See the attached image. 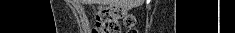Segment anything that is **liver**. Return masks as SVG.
Masks as SVG:
<instances>
[{
  "label": "liver",
  "mask_w": 235,
  "mask_h": 33,
  "mask_svg": "<svg viewBox=\"0 0 235 33\" xmlns=\"http://www.w3.org/2000/svg\"><path fill=\"white\" fill-rule=\"evenodd\" d=\"M85 3L87 4H102V5H106V4H109V3H115L117 4V1H114V0H85ZM127 3V7L128 9H131L133 7H136L139 5V2L136 1V0H128L126 1Z\"/></svg>",
  "instance_id": "obj_1"
}]
</instances>
